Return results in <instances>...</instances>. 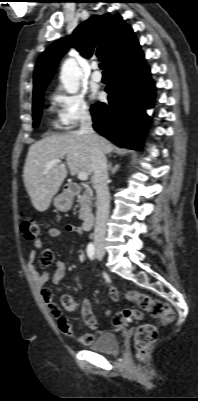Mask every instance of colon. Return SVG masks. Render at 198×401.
<instances>
[{"instance_id": "5ec220e1", "label": "colon", "mask_w": 198, "mask_h": 401, "mask_svg": "<svg viewBox=\"0 0 198 401\" xmlns=\"http://www.w3.org/2000/svg\"><path fill=\"white\" fill-rule=\"evenodd\" d=\"M19 223L21 232L26 239L34 240L39 236V226L33 218L21 216ZM126 298L136 303L138 309H125L116 313L113 317V323L116 327H123L132 319L140 320L145 313H148L164 324H169L174 319L173 310L162 300L154 299L139 291H128ZM62 303L65 307H72L73 305L72 300L68 296L63 298ZM53 312L59 317L61 315V308L55 304ZM156 339L157 330L154 326L145 324L138 327L134 339L138 359H144L147 356L149 349L155 343Z\"/></svg>"}]
</instances>
